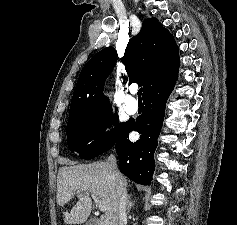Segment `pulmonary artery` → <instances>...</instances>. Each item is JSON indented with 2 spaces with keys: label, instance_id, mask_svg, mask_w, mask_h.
Here are the masks:
<instances>
[{
  "label": "pulmonary artery",
  "instance_id": "1",
  "mask_svg": "<svg viewBox=\"0 0 237 225\" xmlns=\"http://www.w3.org/2000/svg\"><path fill=\"white\" fill-rule=\"evenodd\" d=\"M130 95L126 98L124 108L128 114H135L138 110V102L134 98L135 89H131Z\"/></svg>",
  "mask_w": 237,
  "mask_h": 225
}]
</instances>
